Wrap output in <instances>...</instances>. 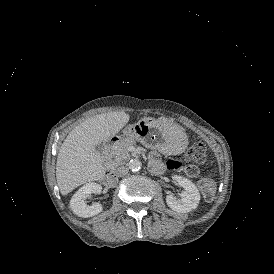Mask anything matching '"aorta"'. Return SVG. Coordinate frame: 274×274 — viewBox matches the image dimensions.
I'll list each match as a JSON object with an SVG mask.
<instances>
[{
  "label": "aorta",
  "mask_w": 274,
  "mask_h": 274,
  "mask_svg": "<svg viewBox=\"0 0 274 274\" xmlns=\"http://www.w3.org/2000/svg\"><path fill=\"white\" fill-rule=\"evenodd\" d=\"M141 161L139 159H132L129 162V169L132 172H138L141 169Z\"/></svg>",
  "instance_id": "762f6f07"
}]
</instances>
